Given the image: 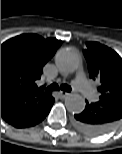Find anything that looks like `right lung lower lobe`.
Listing matches in <instances>:
<instances>
[{"instance_id":"right-lung-lower-lobe-1","label":"right lung lower lobe","mask_w":122,"mask_h":154,"mask_svg":"<svg viewBox=\"0 0 122 154\" xmlns=\"http://www.w3.org/2000/svg\"><path fill=\"white\" fill-rule=\"evenodd\" d=\"M53 103L54 98L52 97V99L46 104L43 109L30 113L29 115L23 117L22 119L16 121L11 125L16 128H26L40 123L48 115Z\"/></svg>"}]
</instances>
